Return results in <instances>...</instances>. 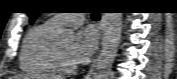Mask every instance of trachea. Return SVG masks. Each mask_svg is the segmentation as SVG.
Wrapping results in <instances>:
<instances>
[{"instance_id": "trachea-1", "label": "trachea", "mask_w": 177, "mask_h": 79, "mask_svg": "<svg viewBox=\"0 0 177 79\" xmlns=\"http://www.w3.org/2000/svg\"><path fill=\"white\" fill-rule=\"evenodd\" d=\"M92 19L97 21L100 19V15L99 14H92Z\"/></svg>"}]
</instances>
